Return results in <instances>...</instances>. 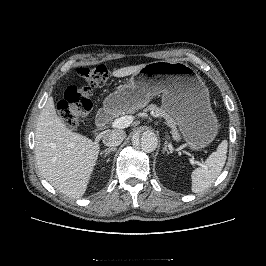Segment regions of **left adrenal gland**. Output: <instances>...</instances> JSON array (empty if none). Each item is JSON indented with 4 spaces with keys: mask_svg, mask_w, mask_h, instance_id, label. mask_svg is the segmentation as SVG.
Returning <instances> with one entry per match:
<instances>
[{
    "mask_svg": "<svg viewBox=\"0 0 266 266\" xmlns=\"http://www.w3.org/2000/svg\"><path fill=\"white\" fill-rule=\"evenodd\" d=\"M167 152V154H170V152L168 151V148H167V141H165L164 143V147H163V153Z\"/></svg>",
    "mask_w": 266,
    "mask_h": 266,
    "instance_id": "left-adrenal-gland-1",
    "label": "left adrenal gland"
}]
</instances>
